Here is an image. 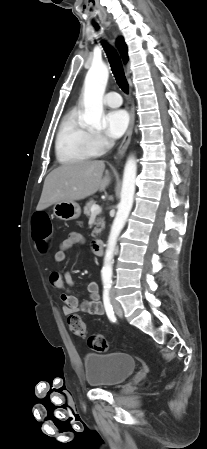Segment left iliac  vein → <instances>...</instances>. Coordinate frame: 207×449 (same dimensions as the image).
Returning a JSON list of instances; mask_svg holds the SVG:
<instances>
[{"instance_id": "left-iliac-vein-1", "label": "left iliac vein", "mask_w": 207, "mask_h": 449, "mask_svg": "<svg viewBox=\"0 0 207 449\" xmlns=\"http://www.w3.org/2000/svg\"><path fill=\"white\" fill-rule=\"evenodd\" d=\"M114 305H116L115 301H113Z\"/></svg>"}]
</instances>
